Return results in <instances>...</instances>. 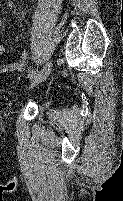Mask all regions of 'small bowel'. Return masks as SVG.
Listing matches in <instances>:
<instances>
[{
  "instance_id": "obj_1",
  "label": "small bowel",
  "mask_w": 123,
  "mask_h": 201,
  "mask_svg": "<svg viewBox=\"0 0 123 201\" xmlns=\"http://www.w3.org/2000/svg\"><path fill=\"white\" fill-rule=\"evenodd\" d=\"M4 52L5 46L0 44V57L4 54ZM27 60L28 53L26 51H22L19 54V60L17 62L0 65V74L22 70L25 67Z\"/></svg>"
}]
</instances>
